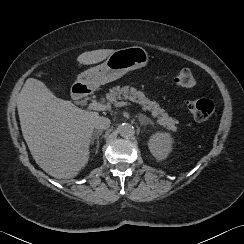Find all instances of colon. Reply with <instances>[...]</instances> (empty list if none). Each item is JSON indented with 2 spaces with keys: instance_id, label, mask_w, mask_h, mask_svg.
<instances>
[{
  "instance_id": "colon-1",
  "label": "colon",
  "mask_w": 244,
  "mask_h": 244,
  "mask_svg": "<svg viewBox=\"0 0 244 244\" xmlns=\"http://www.w3.org/2000/svg\"><path fill=\"white\" fill-rule=\"evenodd\" d=\"M173 82L179 88H192L196 84L193 74L188 69L177 71L173 77ZM185 105L195 120L200 122L211 119L218 112L213 102L206 99H188Z\"/></svg>"
}]
</instances>
